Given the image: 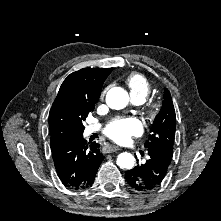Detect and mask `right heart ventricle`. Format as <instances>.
<instances>
[{"label": "right heart ventricle", "instance_id": "obj_1", "mask_svg": "<svg viewBox=\"0 0 221 221\" xmlns=\"http://www.w3.org/2000/svg\"><path fill=\"white\" fill-rule=\"evenodd\" d=\"M125 84L130 90L131 98H140L143 101L146 100L152 89L150 80L140 72L129 74L125 79Z\"/></svg>", "mask_w": 221, "mask_h": 221}]
</instances>
